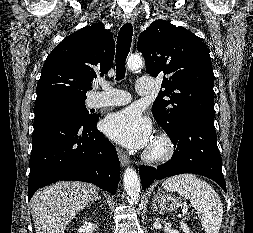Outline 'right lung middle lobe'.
Listing matches in <instances>:
<instances>
[{"instance_id": "1", "label": "right lung middle lobe", "mask_w": 253, "mask_h": 233, "mask_svg": "<svg viewBox=\"0 0 253 233\" xmlns=\"http://www.w3.org/2000/svg\"><path fill=\"white\" fill-rule=\"evenodd\" d=\"M84 102L85 100L56 97L35 103L34 120L48 115H64L77 121H87L93 115L88 113Z\"/></svg>"}]
</instances>
